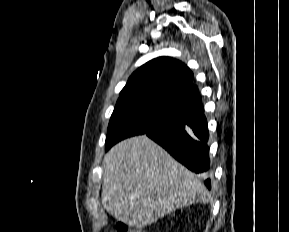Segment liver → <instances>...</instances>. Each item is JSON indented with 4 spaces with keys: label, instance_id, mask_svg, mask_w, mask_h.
I'll return each instance as SVG.
<instances>
[{
    "label": "liver",
    "instance_id": "obj_1",
    "mask_svg": "<svg viewBox=\"0 0 289 232\" xmlns=\"http://www.w3.org/2000/svg\"><path fill=\"white\" fill-rule=\"evenodd\" d=\"M102 175L103 206L129 227L141 229L209 198L201 180L146 135L113 146L104 156Z\"/></svg>",
    "mask_w": 289,
    "mask_h": 232
}]
</instances>
